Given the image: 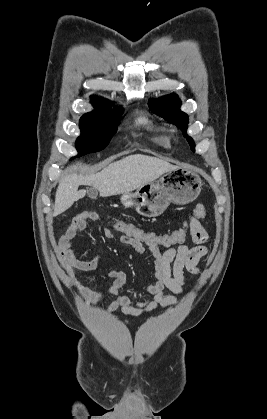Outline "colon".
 Returning a JSON list of instances; mask_svg holds the SVG:
<instances>
[{"label": "colon", "mask_w": 267, "mask_h": 419, "mask_svg": "<svg viewBox=\"0 0 267 419\" xmlns=\"http://www.w3.org/2000/svg\"><path fill=\"white\" fill-rule=\"evenodd\" d=\"M205 213V207L203 205H197L190 216L202 218L205 216ZM111 228L118 233L119 241L129 247L137 245L162 248L171 247L183 242L188 232V226L185 225L169 233H155L144 230L134 223L122 220L111 221Z\"/></svg>", "instance_id": "5ec220e1"}]
</instances>
